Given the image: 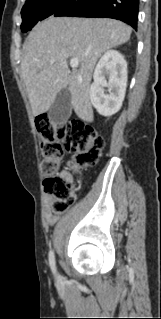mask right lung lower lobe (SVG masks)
Returning a JSON list of instances; mask_svg holds the SVG:
<instances>
[{"label": "right lung lower lobe", "mask_w": 161, "mask_h": 319, "mask_svg": "<svg viewBox=\"0 0 161 319\" xmlns=\"http://www.w3.org/2000/svg\"><path fill=\"white\" fill-rule=\"evenodd\" d=\"M139 0H86L65 16L114 18L137 28Z\"/></svg>", "instance_id": "right-lung-lower-lobe-1"}]
</instances>
